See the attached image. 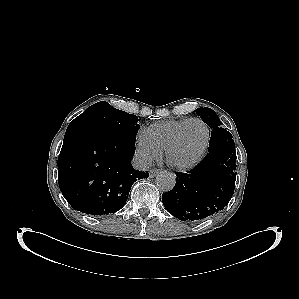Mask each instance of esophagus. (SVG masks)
I'll return each mask as SVG.
<instances>
[{
	"mask_svg": "<svg viewBox=\"0 0 299 299\" xmlns=\"http://www.w3.org/2000/svg\"><path fill=\"white\" fill-rule=\"evenodd\" d=\"M159 172H161L159 169L150 170L149 178H154Z\"/></svg>",
	"mask_w": 299,
	"mask_h": 299,
	"instance_id": "34e87169",
	"label": "esophagus"
}]
</instances>
